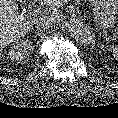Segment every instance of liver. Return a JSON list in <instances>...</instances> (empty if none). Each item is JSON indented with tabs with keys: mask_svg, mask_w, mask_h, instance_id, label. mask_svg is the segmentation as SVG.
Returning <instances> with one entry per match:
<instances>
[{
	"mask_svg": "<svg viewBox=\"0 0 118 118\" xmlns=\"http://www.w3.org/2000/svg\"><path fill=\"white\" fill-rule=\"evenodd\" d=\"M70 0H42L46 6H62ZM16 0H0V57L4 47L20 41L33 27L34 21H30L23 14H19ZM55 18V17H54Z\"/></svg>",
	"mask_w": 118,
	"mask_h": 118,
	"instance_id": "obj_1",
	"label": "liver"
}]
</instances>
